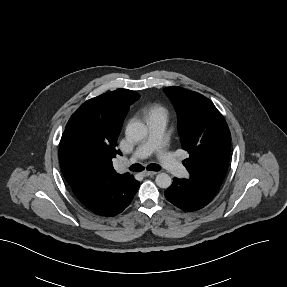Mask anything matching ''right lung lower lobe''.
Masks as SVG:
<instances>
[{
	"instance_id": "98d812e1",
	"label": "right lung lower lobe",
	"mask_w": 287,
	"mask_h": 287,
	"mask_svg": "<svg viewBox=\"0 0 287 287\" xmlns=\"http://www.w3.org/2000/svg\"><path fill=\"white\" fill-rule=\"evenodd\" d=\"M140 183L131 175L104 179L76 189V198L91 212L105 217L121 213L133 200Z\"/></svg>"
}]
</instances>
